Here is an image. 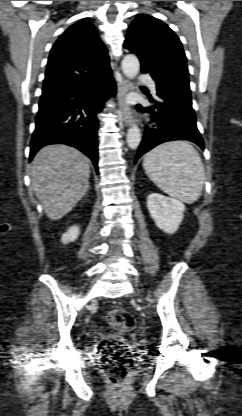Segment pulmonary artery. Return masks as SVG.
Masks as SVG:
<instances>
[{
    "mask_svg": "<svg viewBox=\"0 0 242 416\" xmlns=\"http://www.w3.org/2000/svg\"><path fill=\"white\" fill-rule=\"evenodd\" d=\"M139 80H140L141 82H145V83H147V84H148V86L151 88V90H152V91H155V89H156V85H155L154 81H152V80L149 78V76H147V75H140V76H139Z\"/></svg>",
    "mask_w": 242,
    "mask_h": 416,
    "instance_id": "obj_1",
    "label": "pulmonary artery"
}]
</instances>
